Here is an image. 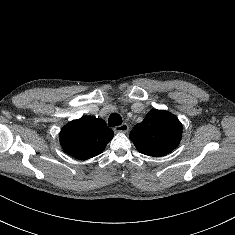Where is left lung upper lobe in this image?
<instances>
[{
    "label": "left lung upper lobe",
    "instance_id": "1",
    "mask_svg": "<svg viewBox=\"0 0 235 235\" xmlns=\"http://www.w3.org/2000/svg\"><path fill=\"white\" fill-rule=\"evenodd\" d=\"M182 124L176 116L164 110H151L135 125L129 138L145 155L161 157L175 149L181 140Z\"/></svg>",
    "mask_w": 235,
    "mask_h": 235
}]
</instances>
